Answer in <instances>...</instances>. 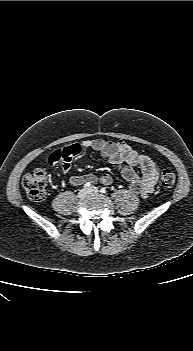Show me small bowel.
<instances>
[{"instance_id": "c3829d8e", "label": "small bowel", "mask_w": 193, "mask_h": 351, "mask_svg": "<svg viewBox=\"0 0 193 351\" xmlns=\"http://www.w3.org/2000/svg\"><path fill=\"white\" fill-rule=\"evenodd\" d=\"M92 149L106 158L129 184V191L134 194L147 196L158 180L159 167L147 155L133 150L124 141H106L100 138L83 140L78 143H68L49 155L52 165H60L63 172L69 171L71 162L81 153L82 149ZM113 179L110 174L100 176L93 174L71 176L69 184L80 186L84 183H101L110 185Z\"/></svg>"}]
</instances>
